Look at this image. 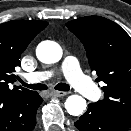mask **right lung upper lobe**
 <instances>
[{
	"label": "right lung upper lobe",
	"mask_w": 131,
	"mask_h": 131,
	"mask_svg": "<svg viewBox=\"0 0 131 131\" xmlns=\"http://www.w3.org/2000/svg\"><path fill=\"white\" fill-rule=\"evenodd\" d=\"M44 21L13 20L0 24V95L30 92L25 88L10 84L18 78L15 67L21 66V53L33 38L46 26Z\"/></svg>",
	"instance_id": "1"
}]
</instances>
